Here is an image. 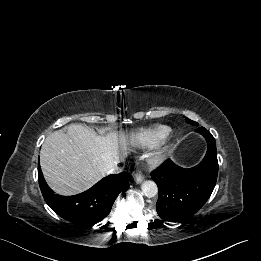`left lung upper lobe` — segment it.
I'll return each mask as SVG.
<instances>
[{"instance_id": "5c2ea615", "label": "left lung upper lobe", "mask_w": 261, "mask_h": 261, "mask_svg": "<svg viewBox=\"0 0 261 261\" xmlns=\"http://www.w3.org/2000/svg\"><path fill=\"white\" fill-rule=\"evenodd\" d=\"M186 120H187L190 124H192V125H198L196 122H194V121H192V120H190V119H188V118H186Z\"/></svg>"}]
</instances>
